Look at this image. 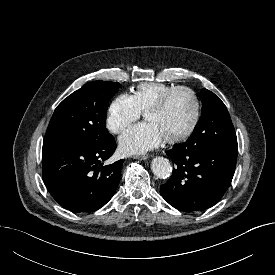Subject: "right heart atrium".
<instances>
[{"label": "right heart atrium", "mask_w": 275, "mask_h": 275, "mask_svg": "<svg viewBox=\"0 0 275 275\" xmlns=\"http://www.w3.org/2000/svg\"><path fill=\"white\" fill-rule=\"evenodd\" d=\"M141 112L137 109L132 97L128 94H120L110 104L106 125L109 131L119 134L133 122L138 120Z\"/></svg>", "instance_id": "right-heart-atrium-1"}]
</instances>
